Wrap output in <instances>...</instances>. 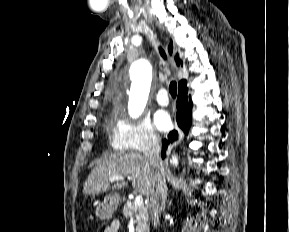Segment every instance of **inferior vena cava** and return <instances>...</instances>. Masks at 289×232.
<instances>
[{"label": "inferior vena cava", "instance_id": "obj_1", "mask_svg": "<svg viewBox=\"0 0 289 232\" xmlns=\"http://www.w3.org/2000/svg\"><path fill=\"white\" fill-rule=\"evenodd\" d=\"M145 156L150 164L156 169L154 190L150 194V214L154 228L159 225V215L165 209L167 186L165 170L160 156V138L153 136L145 151Z\"/></svg>", "mask_w": 289, "mask_h": 232}]
</instances>
